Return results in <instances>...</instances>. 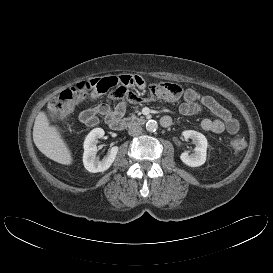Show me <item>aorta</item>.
Wrapping results in <instances>:
<instances>
[{
    "label": "aorta",
    "mask_w": 273,
    "mask_h": 273,
    "mask_svg": "<svg viewBox=\"0 0 273 273\" xmlns=\"http://www.w3.org/2000/svg\"><path fill=\"white\" fill-rule=\"evenodd\" d=\"M158 128V124L155 120H148L146 123L147 131L153 132L156 131Z\"/></svg>",
    "instance_id": "1"
}]
</instances>
